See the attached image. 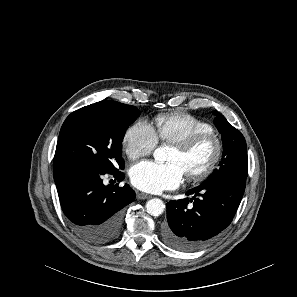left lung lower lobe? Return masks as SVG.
<instances>
[{"label":"left lung lower lobe","instance_id":"0a47b994","mask_svg":"<svg viewBox=\"0 0 297 297\" xmlns=\"http://www.w3.org/2000/svg\"><path fill=\"white\" fill-rule=\"evenodd\" d=\"M245 186L246 181L235 179L203 182L186 193L191 199L167 203L164 242L179 251H195L206 245L231 223Z\"/></svg>","mask_w":297,"mask_h":297}]
</instances>
